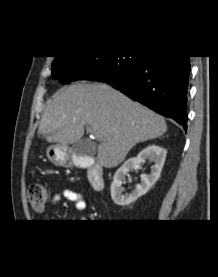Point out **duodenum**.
<instances>
[{"label":"duodenum","instance_id":"1","mask_svg":"<svg viewBox=\"0 0 218 277\" xmlns=\"http://www.w3.org/2000/svg\"><path fill=\"white\" fill-rule=\"evenodd\" d=\"M74 162L77 167L87 169L88 181L93 190L100 191L104 188L105 180L100 164L85 156L76 157Z\"/></svg>","mask_w":218,"mask_h":277}]
</instances>
